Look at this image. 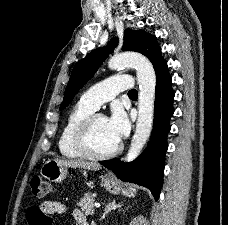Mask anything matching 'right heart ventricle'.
I'll return each instance as SVG.
<instances>
[{"instance_id": "e07e8e85", "label": "right heart ventricle", "mask_w": 228, "mask_h": 225, "mask_svg": "<svg viewBox=\"0 0 228 225\" xmlns=\"http://www.w3.org/2000/svg\"><path fill=\"white\" fill-rule=\"evenodd\" d=\"M94 111V109L80 100L73 106L67 116L58 141V148L62 156L70 159L88 157L75 146L74 136L80 123Z\"/></svg>"}]
</instances>
